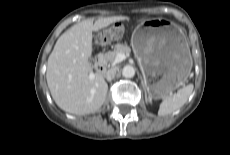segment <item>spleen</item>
<instances>
[{"instance_id":"obj_1","label":"spleen","mask_w":230,"mask_h":155,"mask_svg":"<svg viewBox=\"0 0 230 155\" xmlns=\"http://www.w3.org/2000/svg\"><path fill=\"white\" fill-rule=\"evenodd\" d=\"M193 91V85L189 84L179 89L174 96L166 97L160 104L158 115L166 116L180 109L188 100Z\"/></svg>"}]
</instances>
